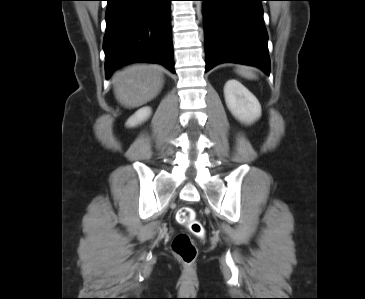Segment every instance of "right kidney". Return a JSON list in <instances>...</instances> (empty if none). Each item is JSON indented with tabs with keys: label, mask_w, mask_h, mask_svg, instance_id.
Here are the masks:
<instances>
[{
	"label": "right kidney",
	"mask_w": 365,
	"mask_h": 299,
	"mask_svg": "<svg viewBox=\"0 0 365 299\" xmlns=\"http://www.w3.org/2000/svg\"><path fill=\"white\" fill-rule=\"evenodd\" d=\"M151 115V109L150 107H143L139 109L137 112L132 115L126 125L128 127H134L142 122H144L149 116Z\"/></svg>",
	"instance_id": "1"
}]
</instances>
